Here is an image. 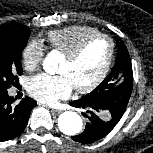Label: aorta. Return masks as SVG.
I'll list each match as a JSON object with an SVG mask.
<instances>
[{"instance_id": "762f6f07", "label": "aorta", "mask_w": 153, "mask_h": 153, "mask_svg": "<svg viewBox=\"0 0 153 153\" xmlns=\"http://www.w3.org/2000/svg\"><path fill=\"white\" fill-rule=\"evenodd\" d=\"M43 68L50 75L56 73L58 63L56 58L49 53L43 60ZM59 130L65 135H76L83 127L82 118L75 112L67 111L62 113L58 118Z\"/></svg>"}]
</instances>
